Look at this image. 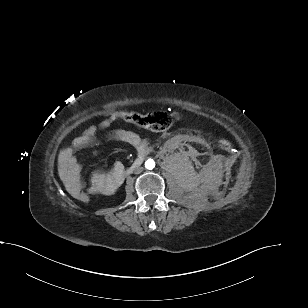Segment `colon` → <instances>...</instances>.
<instances>
[{"mask_svg":"<svg viewBox=\"0 0 308 308\" xmlns=\"http://www.w3.org/2000/svg\"><path fill=\"white\" fill-rule=\"evenodd\" d=\"M122 120L148 129L153 132H163L171 128L177 116L175 113L167 111H156L151 113H136V112H122L118 114ZM221 149L224 151H231L232 145L226 139H220L218 142ZM74 198L81 203H88L90 201V194L85 191H79L74 195Z\"/></svg>","mask_w":308,"mask_h":308,"instance_id":"1","label":"colon"}]
</instances>
